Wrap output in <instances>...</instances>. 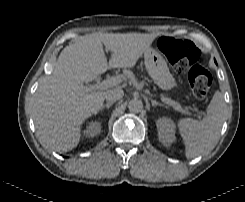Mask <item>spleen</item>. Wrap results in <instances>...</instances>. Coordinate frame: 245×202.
Listing matches in <instances>:
<instances>
[{
    "mask_svg": "<svg viewBox=\"0 0 245 202\" xmlns=\"http://www.w3.org/2000/svg\"><path fill=\"white\" fill-rule=\"evenodd\" d=\"M225 109L223 94L217 91L201 121L191 118L178 120L179 133L184 141L188 159L199 156L213 146L225 119Z\"/></svg>",
    "mask_w": 245,
    "mask_h": 202,
    "instance_id": "spleen-1",
    "label": "spleen"
}]
</instances>
